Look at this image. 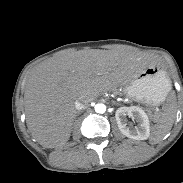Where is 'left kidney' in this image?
<instances>
[{
	"instance_id": "left-kidney-1",
	"label": "left kidney",
	"mask_w": 183,
	"mask_h": 183,
	"mask_svg": "<svg viewBox=\"0 0 183 183\" xmlns=\"http://www.w3.org/2000/svg\"><path fill=\"white\" fill-rule=\"evenodd\" d=\"M131 117L137 123L135 127L128 124L126 117ZM115 118L123 135L134 140H147L150 136L148 115L139 107H120L116 110Z\"/></svg>"
}]
</instances>
